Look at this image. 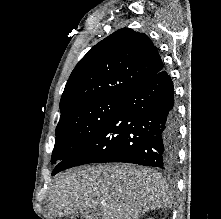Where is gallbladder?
<instances>
[{
  "label": "gallbladder",
  "instance_id": "obj_1",
  "mask_svg": "<svg viewBox=\"0 0 221 219\" xmlns=\"http://www.w3.org/2000/svg\"><path fill=\"white\" fill-rule=\"evenodd\" d=\"M100 215H101V212L99 208H96V209L82 213V218L83 219H98V216Z\"/></svg>",
  "mask_w": 221,
  "mask_h": 219
}]
</instances>
